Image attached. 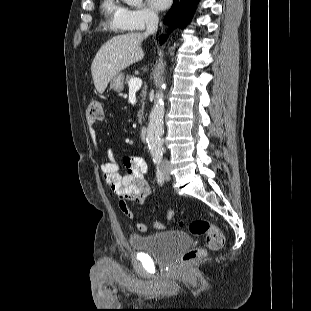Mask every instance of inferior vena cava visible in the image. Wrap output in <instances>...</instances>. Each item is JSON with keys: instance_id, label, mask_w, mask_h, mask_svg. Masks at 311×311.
<instances>
[{"instance_id": "inferior-vena-cava-1", "label": "inferior vena cava", "mask_w": 311, "mask_h": 311, "mask_svg": "<svg viewBox=\"0 0 311 311\" xmlns=\"http://www.w3.org/2000/svg\"><path fill=\"white\" fill-rule=\"evenodd\" d=\"M159 18L155 13H149L146 17V31L144 33L145 36L154 34L158 29ZM169 162L164 160L162 162L163 166H167Z\"/></svg>"}]
</instances>
